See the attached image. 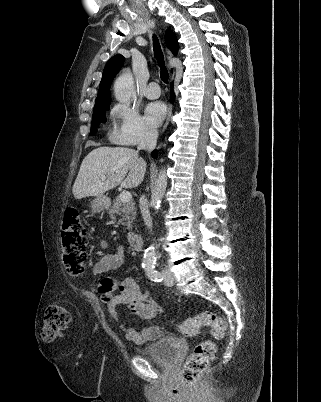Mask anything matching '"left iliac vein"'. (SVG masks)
Returning <instances> with one entry per match:
<instances>
[{"instance_id": "1", "label": "left iliac vein", "mask_w": 321, "mask_h": 402, "mask_svg": "<svg viewBox=\"0 0 321 402\" xmlns=\"http://www.w3.org/2000/svg\"><path fill=\"white\" fill-rule=\"evenodd\" d=\"M164 283L167 286H172L174 283V276L169 270H164Z\"/></svg>"}]
</instances>
